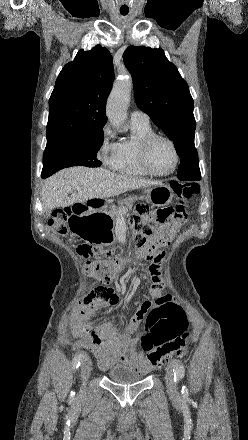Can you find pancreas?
Here are the masks:
<instances>
[{
	"mask_svg": "<svg viewBox=\"0 0 248 440\" xmlns=\"http://www.w3.org/2000/svg\"><path fill=\"white\" fill-rule=\"evenodd\" d=\"M137 200L136 197L130 196L126 198L123 203L119 207H113L109 212V215L113 218L114 221H117L119 218L123 217L128 210L132 209L133 203Z\"/></svg>",
	"mask_w": 248,
	"mask_h": 440,
	"instance_id": "pancreas-1",
	"label": "pancreas"
}]
</instances>
